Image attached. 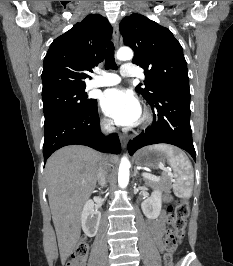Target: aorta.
Segmentation results:
<instances>
[{
	"label": "aorta",
	"mask_w": 233,
	"mask_h": 266,
	"mask_svg": "<svg viewBox=\"0 0 233 266\" xmlns=\"http://www.w3.org/2000/svg\"><path fill=\"white\" fill-rule=\"evenodd\" d=\"M120 61H127L133 58V51L130 48H120L116 54ZM130 162L126 156H123L119 165L118 184L121 188H126L129 183Z\"/></svg>",
	"instance_id": "1"
}]
</instances>
